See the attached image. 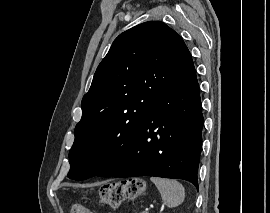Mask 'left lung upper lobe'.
<instances>
[{
  "label": "left lung upper lobe",
  "mask_w": 270,
  "mask_h": 213,
  "mask_svg": "<svg viewBox=\"0 0 270 213\" xmlns=\"http://www.w3.org/2000/svg\"><path fill=\"white\" fill-rule=\"evenodd\" d=\"M192 65L182 38L163 22H145L120 34L82 99L67 177H91L94 164L130 138L177 75Z\"/></svg>",
  "instance_id": "obj_1"
}]
</instances>
